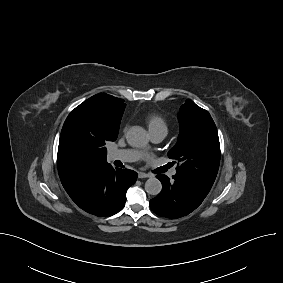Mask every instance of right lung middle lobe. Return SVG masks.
<instances>
[{"label": "right lung middle lobe", "mask_w": 283, "mask_h": 283, "mask_svg": "<svg viewBox=\"0 0 283 283\" xmlns=\"http://www.w3.org/2000/svg\"><path fill=\"white\" fill-rule=\"evenodd\" d=\"M123 112L124 108L110 120L94 104L84 101L68 115L58 152L79 165L106 161L105 144L116 140Z\"/></svg>", "instance_id": "1"}]
</instances>
